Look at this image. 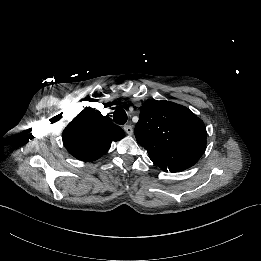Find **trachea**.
I'll list each match as a JSON object with an SVG mask.
<instances>
[{
	"label": "trachea",
	"instance_id": "obj_1",
	"mask_svg": "<svg viewBox=\"0 0 261 261\" xmlns=\"http://www.w3.org/2000/svg\"><path fill=\"white\" fill-rule=\"evenodd\" d=\"M113 119L117 124L124 125L127 122L128 116L123 109L118 108L113 114Z\"/></svg>",
	"mask_w": 261,
	"mask_h": 261
}]
</instances>
